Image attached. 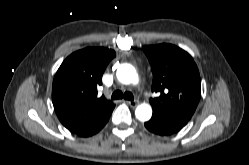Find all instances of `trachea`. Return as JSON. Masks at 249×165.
I'll return each mask as SVG.
<instances>
[{
  "mask_svg": "<svg viewBox=\"0 0 249 165\" xmlns=\"http://www.w3.org/2000/svg\"><path fill=\"white\" fill-rule=\"evenodd\" d=\"M111 98L113 100H117V99H122L124 98L125 100H129V101H133L134 100V96L131 92H122L120 90H116L115 92H113Z\"/></svg>",
  "mask_w": 249,
  "mask_h": 165,
  "instance_id": "3493384b",
  "label": "trachea"
}]
</instances>
